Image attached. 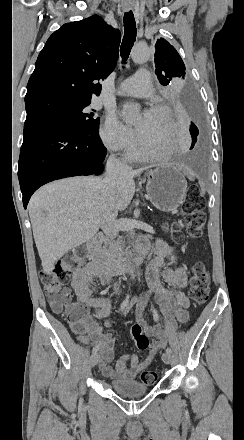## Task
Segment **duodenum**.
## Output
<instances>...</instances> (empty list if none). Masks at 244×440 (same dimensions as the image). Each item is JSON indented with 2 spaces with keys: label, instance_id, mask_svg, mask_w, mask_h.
Returning a JSON list of instances; mask_svg holds the SVG:
<instances>
[{
  "label": "duodenum",
  "instance_id": "410a0bca",
  "mask_svg": "<svg viewBox=\"0 0 244 440\" xmlns=\"http://www.w3.org/2000/svg\"><path fill=\"white\" fill-rule=\"evenodd\" d=\"M105 245L101 235H95L86 243V254L88 258L99 265L102 270L110 275L129 272L138 267L147 254V247L141 243L138 252L133 256H126L118 259L103 253Z\"/></svg>",
  "mask_w": 244,
  "mask_h": 440
}]
</instances>
